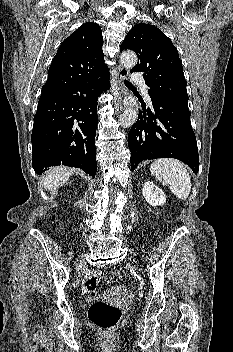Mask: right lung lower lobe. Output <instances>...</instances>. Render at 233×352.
Returning <instances> with one entry per match:
<instances>
[{
	"instance_id": "1",
	"label": "right lung lower lobe",
	"mask_w": 233,
	"mask_h": 352,
	"mask_svg": "<svg viewBox=\"0 0 233 352\" xmlns=\"http://www.w3.org/2000/svg\"><path fill=\"white\" fill-rule=\"evenodd\" d=\"M109 79L107 69L67 89L41 94L31 136L37 174L63 164L95 176L97 98L109 88Z\"/></svg>"
}]
</instances>
